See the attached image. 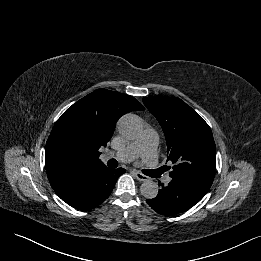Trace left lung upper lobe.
<instances>
[{
  "label": "left lung upper lobe",
  "mask_w": 261,
  "mask_h": 261,
  "mask_svg": "<svg viewBox=\"0 0 261 261\" xmlns=\"http://www.w3.org/2000/svg\"><path fill=\"white\" fill-rule=\"evenodd\" d=\"M147 109L160 123L169 157L171 178H193L212 185L216 146L208 124L184 101L174 97H145Z\"/></svg>",
  "instance_id": "5c2ea615"
}]
</instances>
